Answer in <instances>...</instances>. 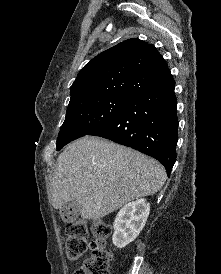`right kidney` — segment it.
I'll list each match as a JSON object with an SVG mask.
<instances>
[{
  "instance_id": "ca27d5eb",
  "label": "right kidney",
  "mask_w": 221,
  "mask_h": 274,
  "mask_svg": "<svg viewBox=\"0 0 221 274\" xmlns=\"http://www.w3.org/2000/svg\"><path fill=\"white\" fill-rule=\"evenodd\" d=\"M149 213L150 204L146 199H138L124 205L113 224V244L122 249L134 241L145 226Z\"/></svg>"
}]
</instances>
